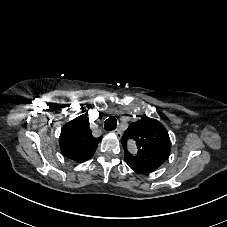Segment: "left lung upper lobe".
Segmentation results:
<instances>
[{
	"mask_svg": "<svg viewBox=\"0 0 227 227\" xmlns=\"http://www.w3.org/2000/svg\"><path fill=\"white\" fill-rule=\"evenodd\" d=\"M128 139L137 143L138 153L130 154L126 149ZM122 145L124 158L128 166L137 173L146 174L155 171L170 155V139L164 126L157 120L142 117L133 122L124 132Z\"/></svg>",
	"mask_w": 227,
	"mask_h": 227,
	"instance_id": "obj_1",
	"label": "left lung upper lobe"
}]
</instances>
